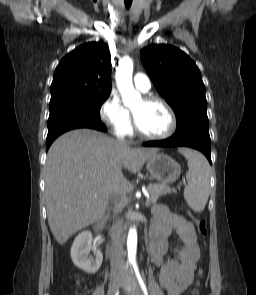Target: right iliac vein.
<instances>
[{
    "mask_svg": "<svg viewBox=\"0 0 256 295\" xmlns=\"http://www.w3.org/2000/svg\"><path fill=\"white\" fill-rule=\"evenodd\" d=\"M120 278L121 273H115L111 276L107 295H115Z\"/></svg>",
    "mask_w": 256,
    "mask_h": 295,
    "instance_id": "right-iliac-vein-1",
    "label": "right iliac vein"
}]
</instances>
